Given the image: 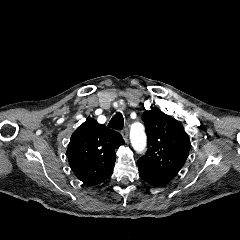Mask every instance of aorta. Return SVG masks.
<instances>
[{
  "instance_id": "762f6f07",
  "label": "aorta",
  "mask_w": 240,
  "mask_h": 240,
  "mask_svg": "<svg viewBox=\"0 0 240 240\" xmlns=\"http://www.w3.org/2000/svg\"><path fill=\"white\" fill-rule=\"evenodd\" d=\"M131 143L137 152H142L146 146V136L141 124H134L131 127Z\"/></svg>"
}]
</instances>
